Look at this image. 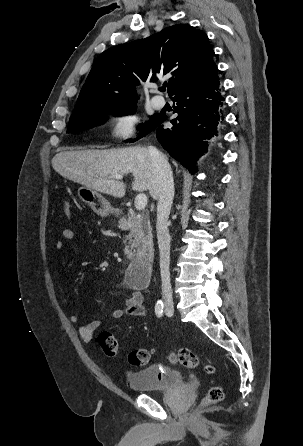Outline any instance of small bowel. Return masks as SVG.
<instances>
[{"instance_id":"1","label":"small bowel","mask_w":303,"mask_h":446,"mask_svg":"<svg viewBox=\"0 0 303 446\" xmlns=\"http://www.w3.org/2000/svg\"><path fill=\"white\" fill-rule=\"evenodd\" d=\"M75 237V232L71 228H65L62 231V240L55 243L54 247L56 250L60 251L64 248V241H70ZM126 286L131 289L130 296L126 299L124 306L116 308L112 312V319L117 320L125 316H147V311L143 304V295L139 289L134 288L128 283ZM64 303L67 299L64 297L62 299ZM69 321L72 324L77 325V330L81 339L85 342H90L95 334V332L101 327L103 322L101 320L93 319L88 321H81L77 314H71L69 316Z\"/></svg>"}]
</instances>
